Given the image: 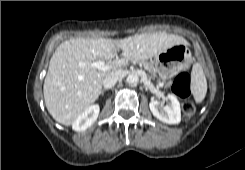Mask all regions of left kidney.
<instances>
[{
	"label": "left kidney",
	"mask_w": 245,
	"mask_h": 170,
	"mask_svg": "<svg viewBox=\"0 0 245 170\" xmlns=\"http://www.w3.org/2000/svg\"><path fill=\"white\" fill-rule=\"evenodd\" d=\"M171 106L160 107L159 102L152 100L149 103L152 114L160 121L167 124H179L181 121L180 103L175 95L168 94Z\"/></svg>",
	"instance_id": "1"
}]
</instances>
